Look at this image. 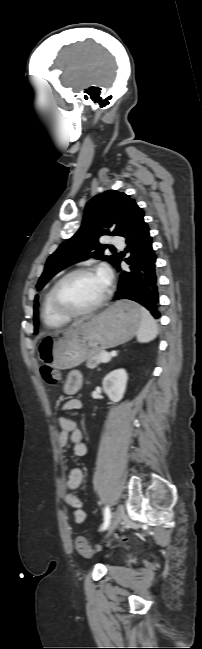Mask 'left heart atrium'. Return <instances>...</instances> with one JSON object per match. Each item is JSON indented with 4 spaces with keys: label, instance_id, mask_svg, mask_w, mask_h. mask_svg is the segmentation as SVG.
Returning a JSON list of instances; mask_svg holds the SVG:
<instances>
[{
    "label": "left heart atrium",
    "instance_id": "left-heart-atrium-1",
    "mask_svg": "<svg viewBox=\"0 0 202 649\" xmlns=\"http://www.w3.org/2000/svg\"><path fill=\"white\" fill-rule=\"evenodd\" d=\"M98 274L100 277L108 284L110 281V271L107 267H102L99 269Z\"/></svg>",
    "mask_w": 202,
    "mask_h": 649
}]
</instances>
